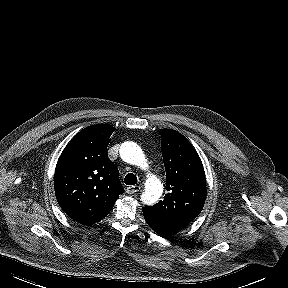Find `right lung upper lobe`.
Listing matches in <instances>:
<instances>
[{"label": "right lung upper lobe", "instance_id": "obj_1", "mask_svg": "<svg viewBox=\"0 0 288 288\" xmlns=\"http://www.w3.org/2000/svg\"><path fill=\"white\" fill-rule=\"evenodd\" d=\"M114 130L103 124L83 129L65 147L56 165L57 201L70 218L84 225L106 217L124 192L118 168L107 153Z\"/></svg>", "mask_w": 288, "mask_h": 288}]
</instances>
